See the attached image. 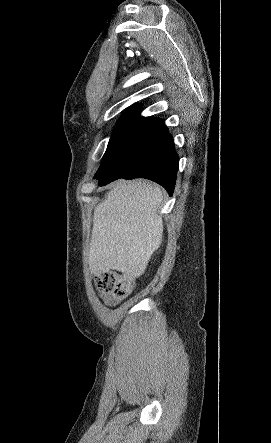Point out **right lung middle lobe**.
Returning <instances> with one entry per match:
<instances>
[{"label": "right lung middle lobe", "instance_id": "obj_1", "mask_svg": "<svg viewBox=\"0 0 271 443\" xmlns=\"http://www.w3.org/2000/svg\"><path fill=\"white\" fill-rule=\"evenodd\" d=\"M140 108L132 106L127 109L117 123L109 141L102 163L96 174L101 173L113 162L118 154L123 142L133 131L138 122L143 118L140 116Z\"/></svg>", "mask_w": 271, "mask_h": 443}]
</instances>
